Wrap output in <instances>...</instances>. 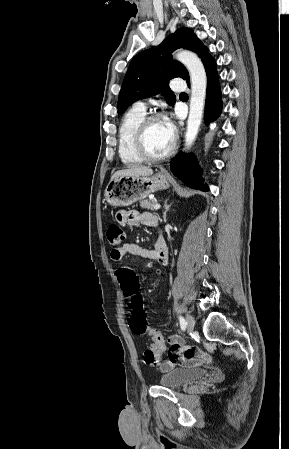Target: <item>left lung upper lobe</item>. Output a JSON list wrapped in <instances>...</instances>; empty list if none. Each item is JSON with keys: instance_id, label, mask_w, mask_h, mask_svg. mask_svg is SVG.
<instances>
[{"instance_id": "1", "label": "left lung upper lobe", "mask_w": 289, "mask_h": 449, "mask_svg": "<svg viewBox=\"0 0 289 449\" xmlns=\"http://www.w3.org/2000/svg\"><path fill=\"white\" fill-rule=\"evenodd\" d=\"M179 48L194 51L203 59L208 49L189 28H181L169 35L159 46L140 52L130 62L119 97L118 115L137 100L162 93L169 105H174L175 95L168 81L181 77L189 81L184 65L172 59L171 53Z\"/></svg>"}]
</instances>
